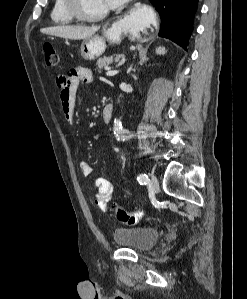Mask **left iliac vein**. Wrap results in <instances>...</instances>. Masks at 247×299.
I'll return each mask as SVG.
<instances>
[{"mask_svg": "<svg viewBox=\"0 0 247 299\" xmlns=\"http://www.w3.org/2000/svg\"><path fill=\"white\" fill-rule=\"evenodd\" d=\"M150 189L153 191V193H157L159 191V182L158 179L154 176L151 175L150 177Z\"/></svg>", "mask_w": 247, "mask_h": 299, "instance_id": "4c4485c4", "label": "left iliac vein"}]
</instances>
